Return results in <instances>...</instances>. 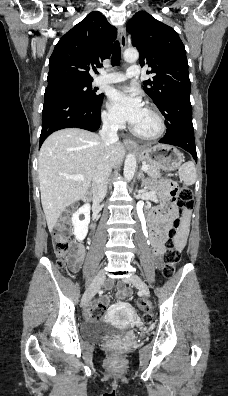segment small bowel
Listing matches in <instances>:
<instances>
[{
	"instance_id": "c3829d8e",
	"label": "small bowel",
	"mask_w": 228,
	"mask_h": 396,
	"mask_svg": "<svg viewBox=\"0 0 228 396\" xmlns=\"http://www.w3.org/2000/svg\"><path fill=\"white\" fill-rule=\"evenodd\" d=\"M161 196L163 199V207L161 209H155L150 212L148 216H152L156 219L159 220V233L152 238V246H153V251L154 255L156 256L157 259L160 258L162 253L164 252V241L166 239V235L168 230L171 227L173 216L175 214V209L174 206L172 205L170 201V196L168 192V186L167 184H164L161 187ZM188 223H189V215L186 214L183 217L182 225L179 227L177 230V245L179 248H183L185 246L187 236H188ZM85 254V247L81 242H78L76 244V250L74 254V259L72 262V267L74 269L78 268L79 264L81 263L83 257ZM112 286L111 282H108L106 284L107 288H110ZM118 287V298L119 299H124L130 295V291L125 288V286L122 283H119L117 285ZM109 297L107 295H103L100 299V302L103 306H106L109 304ZM94 304L91 305L90 310ZM127 308L126 304L123 302L117 303L113 308L118 309V308ZM128 309V308H127ZM90 310L86 312V316L90 317Z\"/></svg>"
}]
</instances>
